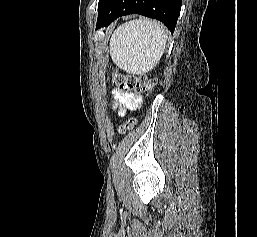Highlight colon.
Here are the masks:
<instances>
[{"instance_id":"5ec220e1","label":"colon","mask_w":257,"mask_h":237,"mask_svg":"<svg viewBox=\"0 0 257 237\" xmlns=\"http://www.w3.org/2000/svg\"><path fill=\"white\" fill-rule=\"evenodd\" d=\"M113 80L119 90L126 93L138 92L149 93L156 85V79L148 75H125L122 73H114ZM134 121L129 120L127 124L121 126L120 131H124L133 125Z\"/></svg>"}]
</instances>
